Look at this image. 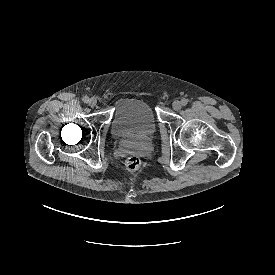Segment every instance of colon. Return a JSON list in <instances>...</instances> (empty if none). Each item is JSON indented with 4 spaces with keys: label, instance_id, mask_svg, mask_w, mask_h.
Returning a JSON list of instances; mask_svg holds the SVG:
<instances>
[{
    "label": "colon",
    "instance_id": "5ec220e1",
    "mask_svg": "<svg viewBox=\"0 0 275 275\" xmlns=\"http://www.w3.org/2000/svg\"><path fill=\"white\" fill-rule=\"evenodd\" d=\"M140 163L139 157L137 155H132L127 158L125 166L128 171L134 172L139 168Z\"/></svg>",
    "mask_w": 275,
    "mask_h": 275
}]
</instances>
